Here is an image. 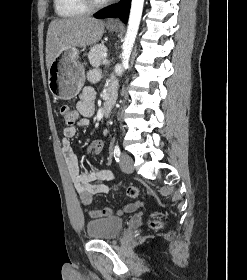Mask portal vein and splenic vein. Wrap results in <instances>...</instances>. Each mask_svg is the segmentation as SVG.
<instances>
[{"instance_id": "18ae733b", "label": "portal vein and splenic vein", "mask_w": 247, "mask_h": 280, "mask_svg": "<svg viewBox=\"0 0 247 280\" xmlns=\"http://www.w3.org/2000/svg\"><path fill=\"white\" fill-rule=\"evenodd\" d=\"M108 63V60L107 59H104L103 60V64H107Z\"/></svg>"}]
</instances>
